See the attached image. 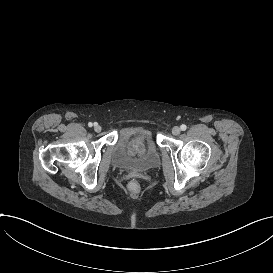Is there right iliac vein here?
Segmentation results:
<instances>
[{"mask_svg": "<svg viewBox=\"0 0 273 273\" xmlns=\"http://www.w3.org/2000/svg\"><path fill=\"white\" fill-rule=\"evenodd\" d=\"M101 130H102V128H101L100 125L97 124V125L94 126V131L95 132L99 133V132H101Z\"/></svg>", "mask_w": 273, "mask_h": 273, "instance_id": "right-iliac-vein-1", "label": "right iliac vein"}]
</instances>
